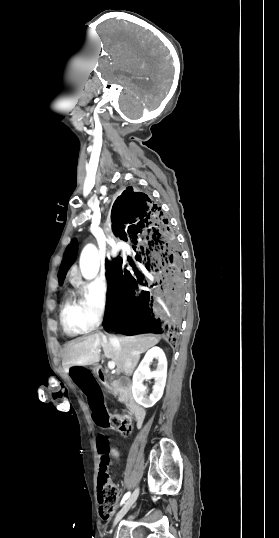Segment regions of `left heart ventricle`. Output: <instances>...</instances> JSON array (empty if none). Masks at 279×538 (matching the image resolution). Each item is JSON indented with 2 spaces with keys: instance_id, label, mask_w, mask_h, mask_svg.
Wrapping results in <instances>:
<instances>
[{
  "instance_id": "1",
  "label": "left heart ventricle",
  "mask_w": 279,
  "mask_h": 538,
  "mask_svg": "<svg viewBox=\"0 0 279 538\" xmlns=\"http://www.w3.org/2000/svg\"><path fill=\"white\" fill-rule=\"evenodd\" d=\"M79 208H82V207H72V209H79ZM85 218H86L85 215H81L80 217L76 218L75 220H76V222H81V221H83ZM96 218H97V215L94 216V219H96Z\"/></svg>"
}]
</instances>
